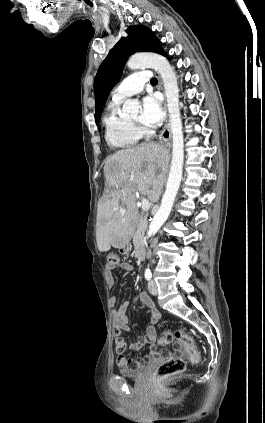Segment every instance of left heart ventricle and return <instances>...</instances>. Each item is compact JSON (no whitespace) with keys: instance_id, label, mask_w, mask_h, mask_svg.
<instances>
[{"instance_id":"1","label":"left heart ventricle","mask_w":265,"mask_h":423,"mask_svg":"<svg viewBox=\"0 0 265 423\" xmlns=\"http://www.w3.org/2000/svg\"><path fill=\"white\" fill-rule=\"evenodd\" d=\"M140 114L136 113L134 116L131 117L132 121L139 122L140 121Z\"/></svg>"}]
</instances>
